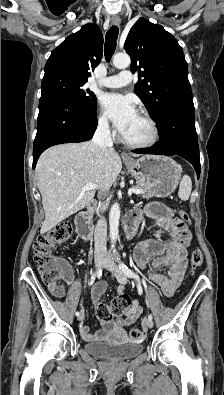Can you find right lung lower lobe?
Instances as JSON below:
<instances>
[{
	"instance_id": "right-lung-lower-lobe-1",
	"label": "right lung lower lobe",
	"mask_w": 224,
	"mask_h": 395,
	"mask_svg": "<svg viewBox=\"0 0 224 395\" xmlns=\"http://www.w3.org/2000/svg\"><path fill=\"white\" fill-rule=\"evenodd\" d=\"M96 126V106L78 107L57 94L42 92L33 145V169L44 150L56 144L87 141L92 138Z\"/></svg>"
}]
</instances>
